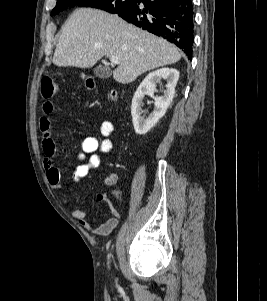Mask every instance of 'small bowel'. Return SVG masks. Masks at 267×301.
<instances>
[{
    "label": "small bowel",
    "instance_id": "small-bowel-1",
    "mask_svg": "<svg viewBox=\"0 0 267 301\" xmlns=\"http://www.w3.org/2000/svg\"><path fill=\"white\" fill-rule=\"evenodd\" d=\"M41 108L42 116L39 119V129L42 133V147L44 151L43 167L51 187L55 190H59L61 187L60 171L54 165V158L58 153V149L51 136L50 119V114L54 110V104L51 100L46 99L42 103ZM114 132V124L111 121H104L100 125V134L104 137L103 139L100 140L95 136H89L83 140L81 151L77 157V164L72 175L73 183L78 184L81 179L88 176L91 169L100 166V154L109 153L113 148V140L110 137ZM115 181L116 177L114 175H110L105 179L107 185H111ZM97 200L109 205L111 216L105 222L99 225L90 222L87 213L78 208L72 209V215L83 228L91 233L99 236H108L118 225V213L110 204L108 196L105 193H99Z\"/></svg>",
    "mask_w": 267,
    "mask_h": 301
}]
</instances>
